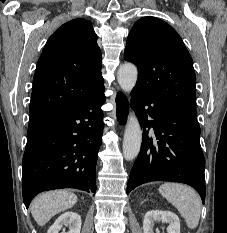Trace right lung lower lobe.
<instances>
[{"label":"right lung lower lobe","instance_id":"1","mask_svg":"<svg viewBox=\"0 0 227 233\" xmlns=\"http://www.w3.org/2000/svg\"><path fill=\"white\" fill-rule=\"evenodd\" d=\"M104 102L103 86L87 98L29 125L22 161V192L27 208L42 191L75 188L96 192Z\"/></svg>","mask_w":227,"mask_h":233}]
</instances>
